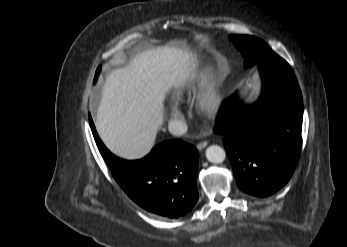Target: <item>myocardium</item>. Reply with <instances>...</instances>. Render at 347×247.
Wrapping results in <instances>:
<instances>
[{"label":"myocardium","mask_w":347,"mask_h":247,"mask_svg":"<svg viewBox=\"0 0 347 247\" xmlns=\"http://www.w3.org/2000/svg\"><path fill=\"white\" fill-rule=\"evenodd\" d=\"M222 104V94L217 79L209 74L202 83L196 98L198 112L205 117H214Z\"/></svg>","instance_id":"1"}]
</instances>
